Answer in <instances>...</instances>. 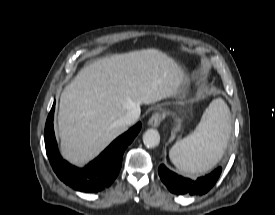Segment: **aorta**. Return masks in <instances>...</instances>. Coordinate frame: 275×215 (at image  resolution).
Listing matches in <instances>:
<instances>
[{
	"label": "aorta",
	"instance_id": "aorta-1",
	"mask_svg": "<svg viewBox=\"0 0 275 215\" xmlns=\"http://www.w3.org/2000/svg\"><path fill=\"white\" fill-rule=\"evenodd\" d=\"M143 142L147 147H156L160 143V134L155 129H148L143 135Z\"/></svg>",
	"mask_w": 275,
	"mask_h": 215
}]
</instances>
